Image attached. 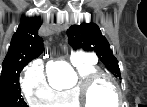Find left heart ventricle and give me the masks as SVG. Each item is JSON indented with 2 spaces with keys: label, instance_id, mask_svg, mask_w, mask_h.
I'll return each mask as SVG.
<instances>
[{
  "label": "left heart ventricle",
  "instance_id": "b2bd125f",
  "mask_svg": "<svg viewBox=\"0 0 147 107\" xmlns=\"http://www.w3.org/2000/svg\"><path fill=\"white\" fill-rule=\"evenodd\" d=\"M90 101L93 107H112L117 103V94L110 82L98 83L90 93Z\"/></svg>",
  "mask_w": 147,
  "mask_h": 107
}]
</instances>
